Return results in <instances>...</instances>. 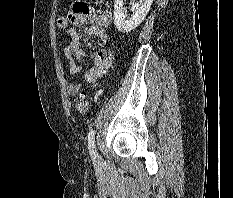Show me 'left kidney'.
<instances>
[{
  "mask_svg": "<svg viewBox=\"0 0 233 198\" xmlns=\"http://www.w3.org/2000/svg\"><path fill=\"white\" fill-rule=\"evenodd\" d=\"M153 0H139L132 3L133 14L127 17V9L124 7V0H114V23L121 32H130L135 29L146 17Z\"/></svg>",
  "mask_w": 233,
  "mask_h": 198,
  "instance_id": "5707ae66",
  "label": "left kidney"
}]
</instances>
